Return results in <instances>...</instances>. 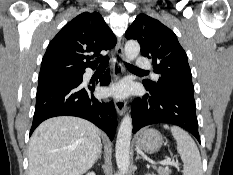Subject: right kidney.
Here are the masks:
<instances>
[{
	"instance_id": "ca27d5eb",
	"label": "right kidney",
	"mask_w": 233,
	"mask_h": 175,
	"mask_svg": "<svg viewBox=\"0 0 233 175\" xmlns=\"http://www.w3.org/2000/svg\"><path fill=\"white\" fill-rule=\"evenodd\" d=\"M87 175H96L94 172H89Z\"/></svg>"
}]
</instances>
